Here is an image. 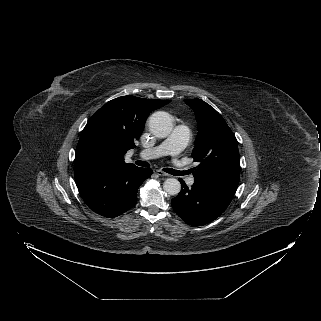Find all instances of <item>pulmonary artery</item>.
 I'll return each instance as SVG.
<instances>
[{"instance_id":"pulmonary-artery-1","label":"pulmonary artery","mask_w":321,"mask_h":321,"mask_svg":"<svg viewBox=\"0 0 321 321\" xmlns=\"http://www.w3.org/2000/svg\"><path fill=\"white\" fill-rule=\"evenodd\" d=\"M189 137V128L185 125H178L162 143L155 147L140 151L139 155L143 159H154L161 156L171 155L173 157L172 165L175 168H179L182 165V161L179 160L177 156L186 147ZM193 183V178L188 180L189 185H192Z\"/></svg>"}]
</instances>
